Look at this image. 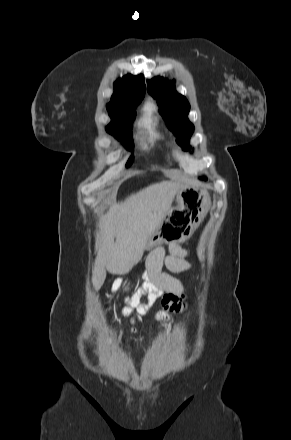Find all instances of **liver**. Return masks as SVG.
I'll list each match as a JSON object with an SVG mask.
<instances>
[{
    "mask_svg": "<svg viewBox=\"0 0 291 440\" xmlns=\"http://www.w3.org/2000/svg\"><path fill=\"white\" fill-rule=\"evenodd\" d=\"M180 183L162 181L131 194L123 202L110 203L101 214L95 236L97 256L93 269V286L99 288L106 271L123 274L138 262L149 238L171 208Z\"/></svg>",
    "mask_w": 291,
    "mask_h": 440,
    "instance_id": "1",
    "label": "liver"
}]
</instances>
